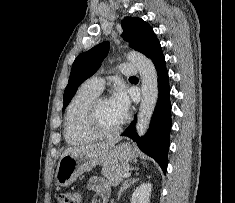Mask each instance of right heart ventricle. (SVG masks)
<instances>
[{"instance_id":"e07e8e85","label":"right heart ventricle","mask_w":235,"mask_h":203,"mask_svg":"<svg viewBox=\"0 0 235 203\" xmlns=\"http://www.w3.org/2000/svg\"><path fill=\"white\" fill-rule=\"evenodd\" d=\"M99 91L84 83L68 105L64 124V137L68 144L79 145L95 141L86 123L88 106L99 95Z\"/></svg>"}]
</instances>
